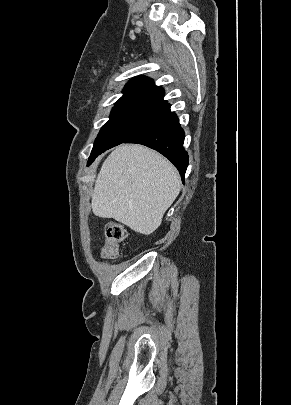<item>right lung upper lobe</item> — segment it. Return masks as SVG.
<instances>
[{"label": "right lung upper lobe", "mask_w": 291, "mask_h": 405, "mask_svg": "<svg viewBox=\"0 0 291 405\" xmlns=\"http://www.w3.org/2000/svg\"><path fill=\"white\" fill-rule=\"evenodd\" d=\"M123 93V96L116 103L126 101H148L158 104H168L163 100V88L156 86L154 82L147 77H137L130 80L125 86Z\"/></svg>", "instance_id": "right-lung-upper-lobe-1"}]
</instances>
